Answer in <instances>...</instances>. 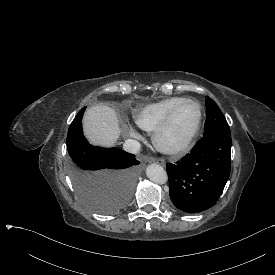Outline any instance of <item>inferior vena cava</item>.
Masks as SVG:
<instances>
[{"label": "inferior vena cava", "mask_w": 275, "mask_h": 275, "mask_svg": "<svg viewBox=\"0 0 275 275\" xmlns=\"http://www.w3.org/2000/svg\"><path fill=\"white\" fill-rule=\"evenodd\" d=\"M141 144L139 141L130 139L123 144V149L126 152L137 154L140 151Z\"/></svg>", "instance_id": "inferior-vena-cava-1"}]
</instances>
